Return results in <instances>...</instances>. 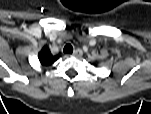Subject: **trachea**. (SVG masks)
Returning <instances> with one entry per match:
<instances>
[{
    "label": "trachea",
    "instance_id": "trachea-1",
    "mask_svg": "<svg viewBox=\"0 0 151 114\" xmlns=\"http://www.w3.org/2000/svg\"><path fill=\"white\" fill-rule=\"evenodd\" d=\"M64 53H68L71 54L73 52V47L71 44H66L64 49H63Z\"/></svg>",
    "mask_w": 151,
    "mask_h": 114
}]
</instances>
